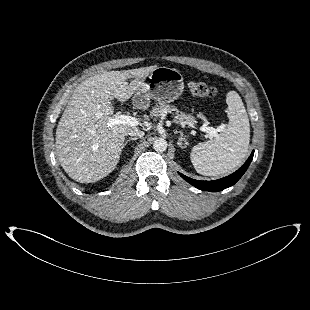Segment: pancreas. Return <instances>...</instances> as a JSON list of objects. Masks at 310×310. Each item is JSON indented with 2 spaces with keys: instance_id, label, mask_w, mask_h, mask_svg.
Returning a JSON list of instances; mask_svg holds the SVG:
<instances>
[{
  "instance_id": "1",
  "label": "pancreas",
  "mask_w": 310,
  "mask_h": 310,
  "mask_svg": "<svg viewBox=\"0 0 310 310\" xmlns=\"http://www.w3.org/2000/svg\"><path fill=\"white\" fill-rule=\"evenodd\" d=\"M173 111L177 112L174 120L175 122H180L182 124H192L195 122V119L192 115H187L185 113L178 114L177 109L171 105L156 106L152 109L150 115L152 117H159L160 115L171 113Z\"/></svg>"
}]
</instances>
